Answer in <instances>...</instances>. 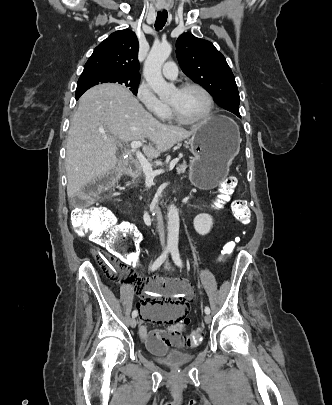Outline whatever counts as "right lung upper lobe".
<instances>
[{"label":"right lung upper lobe","mask_w":332,"mask_h":405,"mask_svg":"<svg viewBox=\"0 0 332 405\" xmlns=\"http://www.w3.org/2000/svg\"><path fill=\"white\" fill-rule=\"evenodd\" d=\"M138 49V40L133 31H116L94 49L83 72L110 70L140 77Z\"/></svg>","instance_id":"obj_1"}]
</instances>
